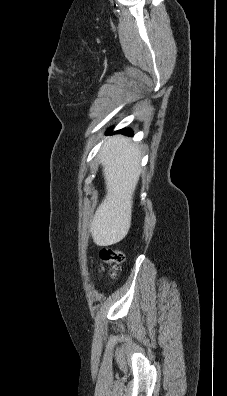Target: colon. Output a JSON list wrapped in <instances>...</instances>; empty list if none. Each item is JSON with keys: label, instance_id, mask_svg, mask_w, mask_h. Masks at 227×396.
I'll use <instances>...</instances> for the list:
<instances>
[{"label": "colon", "instance_id": "obj_1", "mask_svg": "<svg viewBox=\"0 0 227 396\" xmlns=\"http://www.w3.org/2000/svg\"><path fill=\"white\" fill-rule=\"evenodd\" d=\"M101 260L109 266V271L112 276L115 275L116 270L124 261L125 255L123 251L113 248H104L100 252Z\"/></svg>", "mask_w": 227, "mask_h": 396}]
</instances>
